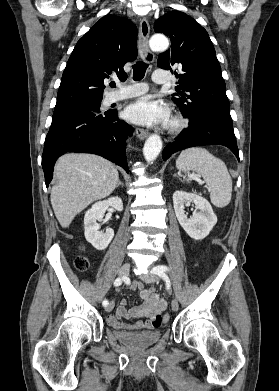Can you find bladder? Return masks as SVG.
<instances>
[{
	"label": "bladder",
	"mask_w": 279,
	"mask_h": 391,
	"mask_svg": "<svg viewBox=\"0 0 279 391\" xmlns=\"http://www.w3.org/2000/svg\"><path fill=\"white\" fill-rule=\"evenodd\" d=\"M113 336L117 341L133 349L151 346L159 341L160 331H125L113 330Z\"/></svg>",
	"instance_id": "obj_1"
}]
</instances>
